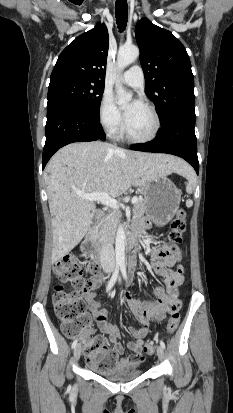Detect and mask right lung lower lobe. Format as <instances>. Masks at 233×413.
I'll list each match as a JSON object with an SVG mask.
<instances>
[{"instance_id":"98d812e1","label":"right lung lower lobe","mask_w":233,"mask_h":413,"mask_svg":"<svg viewBox=\"0 0 233 413\" xmlns=\"http://www.w3.org/2000/svg\"><path fill=\"white\" fill-rule=\"evenodd\" d=\"M99 118H94L70 106L47 108L46 142L43 150V169L52 155L73 142L104 139Z\"/></svg>"}]
</instances>
